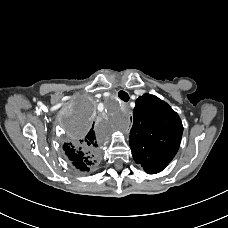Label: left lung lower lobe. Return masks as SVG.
Returning <instances> with one entry per match:
<instances>
[{"label":"left lung lower lobe","mask_w":228,"mask_h":228,"mask_svg":"<svg viewBox=\"0 0 228 228\" xmlns=\"http://www.w3.org/2000/svg\"><path fill=\"white\" fill-rule=\"evenodd\" d=\"M170 161L164 159H153L150 164L142 166L143 169L149 174H155L162 171Z\"/></svg>","instance_id":"obj_1"}]
</instances>
